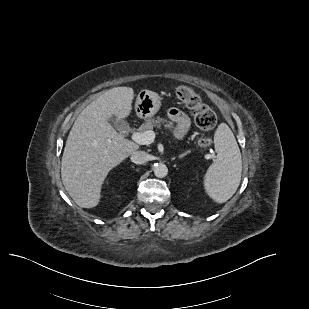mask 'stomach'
<instances>
[{"mask_svg": "<svg viewBox=\"0 0 309 309\" xmlns=\"http://www.w3.org/2000/svg\"><path fill=\"white\" fill-rule=\"evenodd\" d=\"M161 99L160 96L150 90H142L139 92L135 109L140 118L147 119L154 116L160 109Z\"/></svg>", "mask_w": 309, "mask_h": 309, "instance_id": "1", "label": "stomach"}]
</instances>
